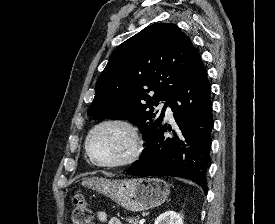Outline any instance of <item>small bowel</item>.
<instances>
[{
    "mask_svg": "<svg viewBox=\"0 0 275 224\" xmlns=\"http://www.w3.org/2000/svg\"><path fill=\"white\" fill-rule=\"evenodd\" d=\"M97 219L102 224H122L119 218L111 217L106 211H99L97 213Z\"/></svg>",
    "mask_w": 275,
    "mask_h": 224,
    "instance_id": "1",
    "label": "small bowel"
}]
</instances>
